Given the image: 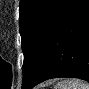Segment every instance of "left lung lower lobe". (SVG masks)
<instances>
[{"instance_id": "left-lung-lower-lobe-1", "label": "left lung lower lobe", "mask_w": 89, "mask_h": 89, "mask_svg": "<svg viewBox=\"0 0 89 89\" xmlns=\"http://www.w3.org/2000/svg\"><path fill=\"white\" fill-rule=\"evenodd\" d=\"M59 77L89 82V0H72L52 35L36 75L25 89Z\"/></svg>"}]
</instances>
